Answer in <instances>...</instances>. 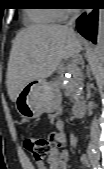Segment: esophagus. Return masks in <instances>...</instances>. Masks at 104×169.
<instances>
[{"label": "esophagus", "instance_id": "obj_1", "mask_svg": "<svg viewBox=\"0 0 104 169\" xmlns=\"http://www.w3.org/2000/svg\"><path fill=\"white\" fill-rule=\"evenodd\" d=\"M90 12V10H87L86 13L88 14Z\"/></svg>", "mask_w": 104, "mask_h": 169}]
</instances>
